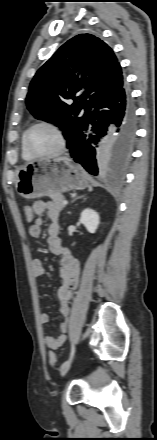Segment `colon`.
<instances>
[{
  "instance_id": "5ec220e1",
  "label": "colon",
  "mask_w": 157,
  "mask_h": 440,
  "mask_svg": "<svg viewBox=\"0 0 157 440\" xmlns=\"http://www.w3.org/2000/svg\"><path fill=\"white\" fill-rule=\"evenodd\" d=\"M24 217L27 222H33L35 219V214L32 207L26 205L23 208ZM49 364L54 367L57 361V357L54 352H49L48 354Z\"/></svg>"
}]
</instances>
